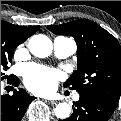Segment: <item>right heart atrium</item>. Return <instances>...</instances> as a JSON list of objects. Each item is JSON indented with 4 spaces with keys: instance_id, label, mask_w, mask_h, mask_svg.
<instances>
[{
    "instance_id": "d8ad5b80",
    "label": "right heart atrium",
    "mask_w": 121,
    "mask_h": 121,
    "mask_svg": "<svg viewBox=\"0 0 121 121\" xmlns=\"http://www.w3.org/2000/svg\"><path fill=\"white\" fill-rule=\"evenodd\" d=\"M23 50H24L23 46L20 45V46L16 49L15 56H16V57H21V55H22V53H23Z\"/></svg>"
}]
</instances>
